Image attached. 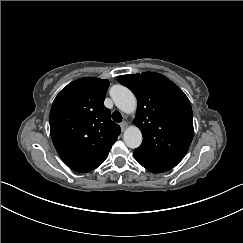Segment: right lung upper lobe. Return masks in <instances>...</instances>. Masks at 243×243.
<instances>
[{
    "instance_id": "1",
    "label": "right lung upper lobe",
    "mask_w": 243,
    "mask_h": 243,
    "mask_svg": "<svg viewBox=\"0 0 243 243\" xmlns=\"http://www.w3.org/2000/svg\"><path fill=\"white\" fill-rule=\"evenodd\" d=\"M108 80L86 77L56 96L50 111L53 144L71 169L89 172L101 165L121 132L104 106Z\"/></svg>"
}]
</instances>
